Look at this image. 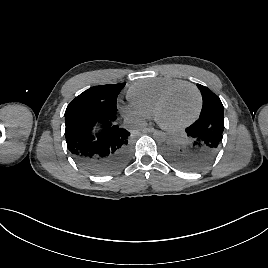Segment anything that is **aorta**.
Returning <instances> with one entry per match:
<instances>
[{
  "label": "aorta",
  "instance_id": "762f6f07",
  "mask_svg": "<svg viewBox=\"0 0 268 268\" xmlns=\"http://www.w3.org/2000/svg\"><path fill=\"white\" fill-rule=\"evenodd\" d=\"M154 138L157 141H163V140H165L167 138V135L164 132L158 131V132L154 133Z\"/></svg>",
  "mask_w": 268,
  "mask_h": 268
}]
</instances>
